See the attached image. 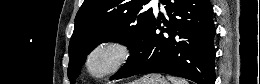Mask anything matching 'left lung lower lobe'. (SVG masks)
I'll use <instances>...</instances> for the list:
<instances>
[{
	"mask_svg": "<svg viewBox=\"0 0 260 84\" xmlns=\"http://www.w3.org/2000/svg\"><path fill=\"white\" fill-rule=\"evenodd\" d=\"M160 1L165 5L169 21L162 15L152 21L138 58L113 79L159 72L198 84H214L216 31L210 1ZM161 19L165 26L162 28Z\"/></svg>",
	"mask_w": 260,
	"mask_h": 84,
	"instance_id": "1",
	"label": "left lung lower lobe"
}]
</instances>
